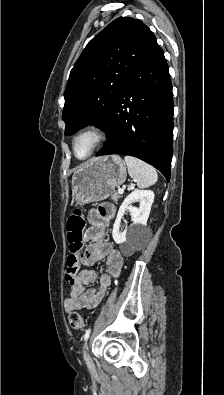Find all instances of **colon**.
<instances>
[{
	"label": "colon",
	"instance_id": "5ec220e1",
	"mask_svg": "<svg viewBox=\"0 0 224 395\" xmlns=\"http://www.w3.org/2000/svg\"><path fill=\"white\" fill-rule=\"evenodd\" d=\"M85 227V221L80 209H76L68 218L66 223L67 241L71 255L67 259V268L65 270L66 281L72 283L79 270L78 256L82 250V233ZM69 324L75 331L82 330L86 325V317L80 313L72 312L69 315Z\"/></svg>",
	"mask_w": 224,
	"mask_h": 395
}]
</instances>
